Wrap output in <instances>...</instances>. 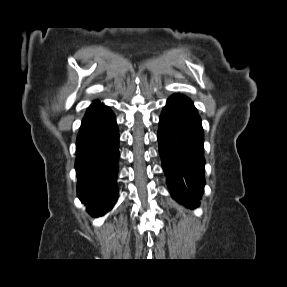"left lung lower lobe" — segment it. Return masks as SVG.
<instances>
[{"label": "left lung lower lobe", "instance_id": "obj_1", "mask_svg": "<svg viewBox=\"0 0 287 287\" xmlns=\"http://www.w3.org/2000/svg\"><path fill=\"white\" fill-rule=\"evenodd\" d=\"M158 142L173 198L188 208L197 207L205 184L204 139L200 116L188 97L168 98L160 115Z\"/></svg>", "mask_w": 287, "mask_h": 287}]
</instances>
